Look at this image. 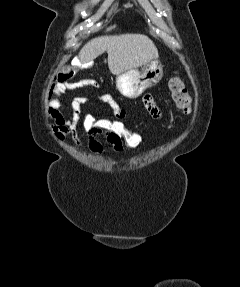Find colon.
<instances>
[{
  "instance_id": "1",
  "label": "colon",
  "mask_w": 240,
  "mask_h": 287,
  "mask_svg": "<svg viewBox=\"0 0 240 287\" xmlns=\"http://www.w3.org/2000/svg\"><path fill=\"white\" fill-rule=\"evenodd\" d=\"M73 72L71 69L60 72L55 82L60 86L63 94L81 89L95 86V82L91 80L72 81ZM171 97L176 106L189 113L191 110V99L185 84L180 76L174 75L168 83ZM84 96H75L70 101L71 114L70 117L82 128L87 134L100 135L113 141H120L128 152H136L143 143V136L136 131L130 129L123 119L98 117L83 111Z\"/></svg>"
}]
</instances>
